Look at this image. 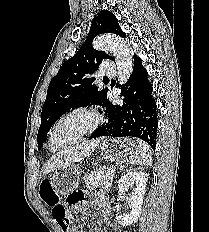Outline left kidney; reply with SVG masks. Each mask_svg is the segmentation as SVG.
I'll return each mask as SVG.
<instances>
[{
	"instance_id": "5707ae66",
	"label": "left kidney",
	"mask_w": 209,
	"mask_h": 232,
	"mask_svg": "<svg viewBox=\"0 0 209 232\" xmlns=\"http://www.w3.org/2000/svg\"><path fill=\"white\" fill-rule=\"evenodd\" d=\"M147 178L144 172H128L123 175L118 183V194L126 197V201L131 204L132 210L126 217L117 216L116 221L122 226H129L136 223L140 218L141 207L144 199ZM135 184L132 195L125 196L129 186Z\"/></svg>"
}]
</instances>
